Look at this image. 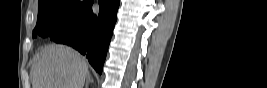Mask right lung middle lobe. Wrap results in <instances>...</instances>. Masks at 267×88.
<instances>
[{"label":"right lung middle lobe","mask_w":267,"mask_h":88,"mask_svg":"<svg viewBox=\"0 0 267 88\" xmlns=\"http://www.w3.org/2000/svg\"><path fill=\"white\" fill-rule=\"evenodd\" d=\"M92 0H40L33 37H53L73 25L92 4Z\"/></svg>","instance_id":"right-lung-middle-lobe-1"}]
</instances>
